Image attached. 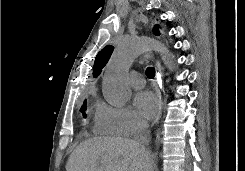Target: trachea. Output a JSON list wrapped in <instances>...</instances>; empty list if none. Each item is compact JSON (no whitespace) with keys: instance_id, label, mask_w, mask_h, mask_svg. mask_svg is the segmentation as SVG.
<instances>
[{"instance_id":"obj_1","label":"trachea","mask_w":245,"mask_h":171,"mask_svg":"<svg viewBox=\"0 0 245 171\" xmlns=\"http://www.w3.org/2000/svg\"><path fill=\"white\" fill-rule=\"evenodd\" d=\"M146 75L150 79L154 78V76H155V68L154 67H148L146 69Z\"/></svg>"}]
</instances>
